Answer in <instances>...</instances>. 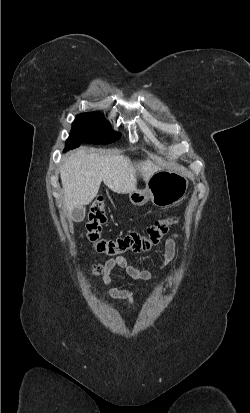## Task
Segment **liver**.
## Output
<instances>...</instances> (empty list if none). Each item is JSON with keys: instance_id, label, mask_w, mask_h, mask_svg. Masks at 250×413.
Wrapping results in <instances>:
<instances>
[{"instance_id": "liver-1", "label": "liver", "mask_w": 250, "mask_h": 413, "mask_svg": "<svg viewBox=\"0 0 250 413\" xmlns=\"http://www.w3.org/2000/svg\"><path fill=\"white\" fill-rule=\"evenodd\" d=\"M160 170L150 159L132 162L124 155H102L84 148L69 153L60 168L68 216L75 208L91 203L102 181L113 192L127 194L136 190L138 177L147 182Z\"/></svg>"}]
</instances>
